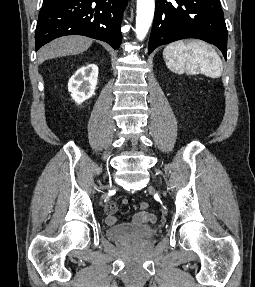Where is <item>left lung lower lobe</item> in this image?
<instances>
[{
    "instance_id": "obj_1",
    "label": "left lung lower lobe",
    "mask_w": 255,
    "mask_h": 287,
    "mask_svg": "<svg viewBox=\"0 0 255 287\" xmlns=\"http://www.w3.org/2000/svg\"><path fill=\"white\" fill-rule=\"evenodd\" d=\"M156 0L148 53L170 42L197 38L217 46L227 59V28L219 0Z\"/></svg>"
}]
</instances>
